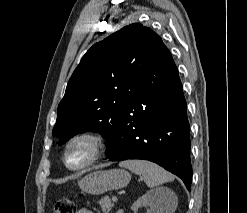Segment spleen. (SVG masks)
Wrapping results in <instances>:
<instances>
[{"mask_svg": "<svg viewBox=\"0 0 247 213\" xmlns=\"http://www.w3.org/2000/svg\"><path fill=\"white\" fill-rule=\"evenodd\" d=\"M119 166L129 169L135 174L143 175L145 183L150 188H154L165 182H170L174 180V176L172 174H170L157 164L146 160L122 161L119 163ZM161 191L163 194L172 197L171 204L168 205V207L165 210L166 213H172L176 207V199L173 196V193L168 189H162Z\"/></svg>", "mask_w": 247, "mask_h": 213, "instance_id": "obj_1", "label": "spleen"}]
</instances>
